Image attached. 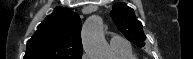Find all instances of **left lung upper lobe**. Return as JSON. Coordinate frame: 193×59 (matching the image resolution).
<instances>
[{"mask_svg": "<svg viewBox=\"0 0 193 59\" xmlns=\"http://www.w3.org/2000/svg\"><path fill=\"white\" fill-rule=\"evenodd\" d=\"M113 22L125 37L139 47L145 45L146 36L142 24L136 19L134 10L124 3H116L110 12Z\"/></svg>", "mask_w": 193, "mask_h": 59, "instance_id": "5c2ea615", "label": "left lung upper lobe"}]
</instances>
